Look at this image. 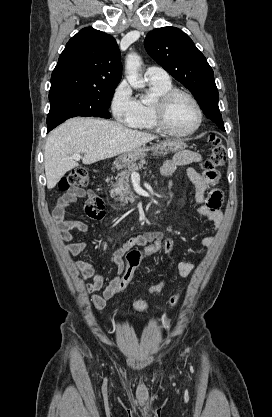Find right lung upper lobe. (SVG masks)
<instances>
[{"instance_id": "obj_1", "label": "right lung upper lobe", "mask_w": 272, "mask_h": 417, "mask_svg": "<svg viewBox=\"0 0 272 417\" xmlns=\"http://www.w3.org/2000/svg\"><path fill=\"white\" fill-rule=\"evenodd\" d=\"M120 51L115 39L91 27L73 36L51 76L50 93L108 90L121 80Z\"/></svg>"}]
</instances>
